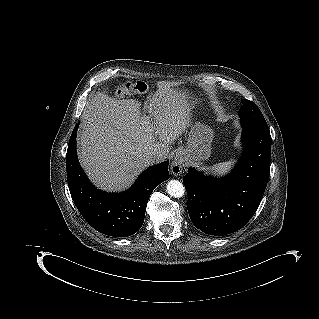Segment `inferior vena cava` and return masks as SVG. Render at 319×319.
<instances>
[{"instance_id":"602c4592","label":"inferior vena cava","mask_w":319,"mask_h":319,"mask_svg":"<svg viewBox=\"0 0 319 319\" xmlns=\"http://www.w3.org/2000/svg\"><path fill=\"white\" fill-rule=\"evenodd\" d=\"M165 159L162 153H153L148 157L150 164L160 163Z\"/></svg>"}]
</instances>
